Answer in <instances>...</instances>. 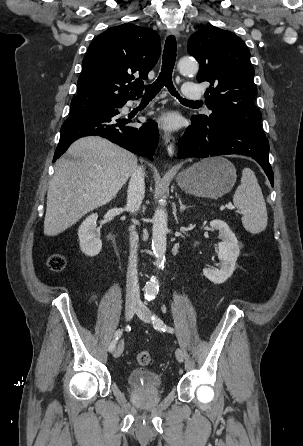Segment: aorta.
Masks as SVG:
<instances>
[{
    "label": "aorta",
    "instance_id": "1",
    "mask_svg": "<svg viewBox=\"0 0 303 446\" xmlns=\"http://www.w3.org/2000/svg\"><path fill=\"white\" fill-rule=\"evenodd\" d=\"M179 71L182 74H196L198 72V65L195 61L190 59H181L178 63ZM168 220L165 209L161 206L155 210L153 216L152 228V250L156 258L155 265L161 268L164 265L165 252L167 246V231ZM159 291V282L156 277L152 278L145 285L146 297L154 298Z\"/></svg>",
    "mask_w": 303,
    "mask_h": 446
}]
</instances>
